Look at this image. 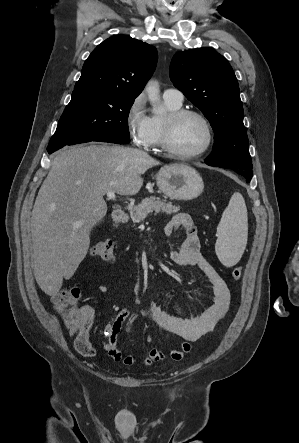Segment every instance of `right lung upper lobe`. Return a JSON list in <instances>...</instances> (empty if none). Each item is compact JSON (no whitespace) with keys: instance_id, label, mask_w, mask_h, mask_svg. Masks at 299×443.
Listing matches in <instances>:
<instances>
[{"instance_id":"cb5924a9","label":"right lung upper lobe","mask_w":299,"mask_h":443,"mask_svg":"<svg viewBox=\"0 0 299 443\" xmlns=\"http://www.w3.org/2000/svg\"><path fill=\"white\" fill-rule=\"evenodd\" d=\"M156 63L154 46L126 35L112 36L86 59L74 91L99 90L136 98Z\"/></svg>"}]
</instances>
